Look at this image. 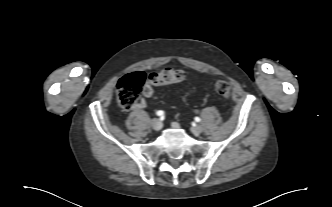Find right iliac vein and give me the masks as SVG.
I'll return each instance as SVG.
<instances>
[{"label":"right iliac vein","mask_w":332,"mask_h":207,"mask_svg":"<svg viewBox=\"0 0 332 207\" xmlns=\"http://www.w3.org/2000/svg\"><path fill=\"white\" fill-rule=\"evenodd\" d=\"M151 126L154 130L158 131L162 128V123L159 119H152L151 120Z\"/></svg>","instance_id":"right-iliac-vein-1"}]
</instances>
